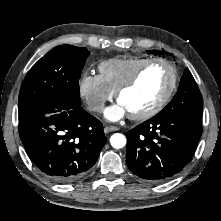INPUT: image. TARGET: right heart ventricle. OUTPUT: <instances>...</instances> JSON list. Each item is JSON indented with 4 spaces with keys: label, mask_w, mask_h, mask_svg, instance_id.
Returning a JSON list of instances; mask_svg holds the SVG:
<instances>
[{
    "label": "right heart ventricle",
    "mask_w": 221,
    "mask_h": 221,
    "mask_svg": "<svg viewBox=\"0 0 221 221\" xmlns=\"http://www.w3.org/2000/svg\"><path fill=\"white\" fill-rule=\"evenodd\" d=\"M146 60L147 58L141 57L112 58L105 60L98 66L99 76L104 84L114 93Z\"/></svg>",
    "instance_id": "e07e8e85"
}]
</instances>
